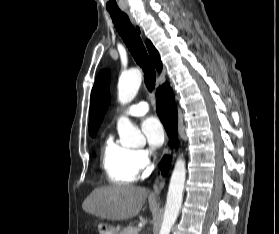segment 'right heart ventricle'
<instances>
[{"instance_id":"1","label":"right heart ventricle","mask_w":279,"mask_h":234,"mask_svg":"<svg viewBox=\"0 0 279 234\" xmlns=\"http://www.w3.org/2000/svg\"><path fill=\"white\" fill-rule=\"evenodd\" d=\"M101 163L108 180L113 184H130L139 177L135 150L119 144L112 135L102 146Z\"/></svg>"}]
</instances>
